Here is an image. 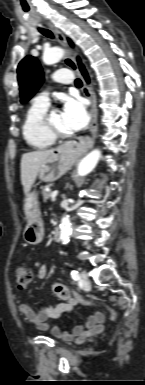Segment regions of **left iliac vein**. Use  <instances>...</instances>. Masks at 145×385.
Here are the masks:
<instances>
[{"mask_svg":"<svg viewBox=\"0 0 145 385\" xmlns=\"http://www.w3.org/2000/svg\"><path fill=\"white\" fill-rule=\"evenodd\" d=\"M81 282H82L83 286H85V287L90 286V280H89V277H88V274L86 271L81 272Z\"/></svg>","mask_w":145,"mask_h":385,"instance_id":"4c4485c4","label":"left iliac vein"}]
</instances>
